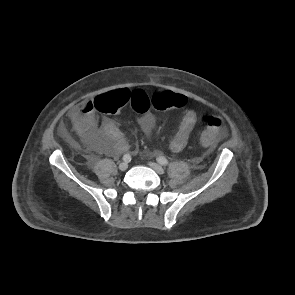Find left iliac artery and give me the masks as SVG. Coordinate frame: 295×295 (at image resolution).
<instances>
[{"instance_id":"1","label":"left iliac artery","mask_w":295,"mask_h":295,"mask_svg":"<svg viewBox=\"0 0 295 295\" xmlns=\"http://www.w3.org/2000/svg\"><path fill=\"white\" fill-rule=\"evenodd\" d=\"M157 162L164 166L168 164V160L164 156L157 157Z\"/></svg>"}]
</instances>
